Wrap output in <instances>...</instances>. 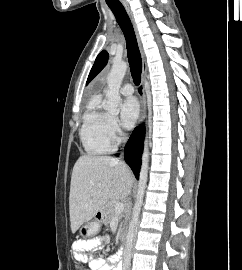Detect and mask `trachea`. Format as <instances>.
<instances>
[{
  "instance_id": "3493384b",
  "label": "trachea",
  "mask_w": 242,
  "mask_h": 270,
  "mask_svg": "<svg viewBox=\"0 0 242 270\" xmlns=\"http://www.w3.org/2000/svg\"><path fill=\"white\" fill-rule=\"evenodd\" d=\"M125 36L131 75L136 85L141 82L142 59L132 23L123 5L109 6Z\"/></svg>"
}]
</instances>
